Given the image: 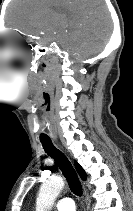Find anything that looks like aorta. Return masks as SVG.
I'll return each mask as SVG.
<instances>
[{
	"label": "aorta",
	"mask_w": 133,
	"mask_h": 211,
	"mask_svg": "<svg viewBox=\"0 0 133 211\" xmlns=\"http://www.w3.org/2000/svg\"><path fill=\"white\" fill-rule=\"evenodd\" d=\"M63 187L64 181L61 177H52L45 181L39 190L36 200V211H51Z\"/></svg>",
	"instance_id": "1"
}]
</instances>
